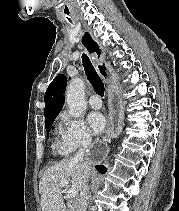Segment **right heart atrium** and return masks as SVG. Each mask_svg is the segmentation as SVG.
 I'll return each mask as SVG.
<instances>
[{
    "instance_id": "d8ad5b80",
    "label": "right heart atrium",
    "mask_w": 179,
    "mask_h": 211,
    "mask_svg": "<svg viewBox=\"0 0 179 211\" xmlns=\"http://www.w3.org/2000/svg\"><path fill=\"white\" fill-rule=\"evenodd\" d=\"M61 141L69 152L87 146L92 141V135L83 120L73 118L67 113L60 116Z\"/></svg>"
}]
</instances>
